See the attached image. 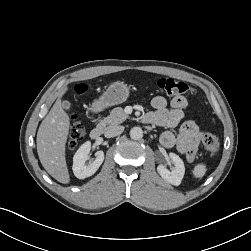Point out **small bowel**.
I'll list each match as a JSON object with an SVG mask.
<instances>
[{
	"label": "small bowel",
	"instance_id": "1",
	"mask_svg": "<svg viewBox=\"0 0 251 251\" xmlns=\"http://www.w3.org/2000/svg\"><path fill=\"white\" fill-rule=\"evenodd\" d=\"M187 104V100L183 96H176L169 102L162 96H156L151 101L154 111L147 113L146 116L150 120V124L165 128L171 129L181 124L178 133L170 130L164 131L160 136V142L165 148L175 147L191 163L195 159L203 133L195 120L181 123Z\"/></svg>",
	"mask_w": 251,
	"mask_h": 251
}]
</instances>
